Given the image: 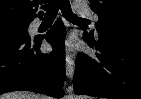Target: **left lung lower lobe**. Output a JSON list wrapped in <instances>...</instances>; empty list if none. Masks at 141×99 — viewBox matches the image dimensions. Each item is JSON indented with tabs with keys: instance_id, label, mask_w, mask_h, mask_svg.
Here are the masks:
<instances>
[{
	"instance_id": "1",
	"label": "left lung lower lobe",
	"mask_w": 141,
	"mask_h": 99,
	"mask_svg": "<svg viewBox=\"0 0 141 99\" xmlns=\"http://www.w3.org/2000/svg\"><path fill=\"white\" fill-rule=\"evenodd\" d=\"M83 39L99 51L79 53L76 58L74 91L111 99H141V33L102 30L98 41L87 33Z\"/></svg>"
}]
</instances>
